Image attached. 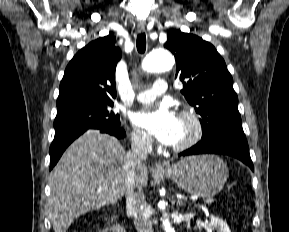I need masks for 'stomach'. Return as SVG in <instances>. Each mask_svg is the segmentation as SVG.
I'll return each instance as SVG.
<instances>
[{"instance_id":"obj_1","label":"stomach","mask_w":289,"mask_h":232,"mask_svg":"<svg viewBox=\"0 0 289 232\" xmlns=\"http://www.w3.org/2000/svg\"><path fill=\"white\" fill-rule=\"evenodd\" d=\"M192 195L209 198L219 193L227 180L228 168L215 155L190 156L160 171Z\"/></svg>"}]
</instances>
